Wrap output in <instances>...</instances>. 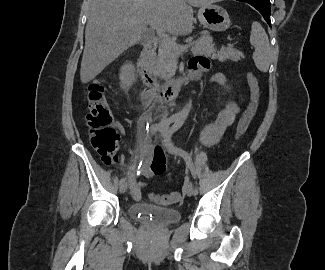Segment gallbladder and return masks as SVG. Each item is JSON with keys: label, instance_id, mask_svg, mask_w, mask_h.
Listing matches in <instances>:
<instances>
[{"label": "gallbladder", "instance_id": "gallbladder-1", "mask_svg": "<svg viewBox=\"0 0 325 270\" xmlns=\"http://www.w3.org/2000/svg\"><path fill=\"white\" fill-rule=\"evenodd\" d=\"M148 40H149V35L145 34L144 37L142 38L141 42L145 43Z\"/></svg>", "mask_w": 325, "mask_h": 270}]
</instances>
